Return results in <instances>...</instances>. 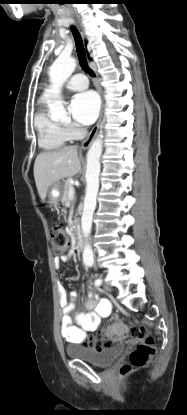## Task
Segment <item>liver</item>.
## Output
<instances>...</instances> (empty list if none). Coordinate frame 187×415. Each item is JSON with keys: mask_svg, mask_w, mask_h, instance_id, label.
Segmentation results:
<instances>
[{"mask_svg": "<svg viewBox=\"0 0 187 415\" xmlns=\"http://www.w3.org/2000/svg\"><path fill=\"white\" fill-rule=\"evenodd\" d=\"M80 169L76 146L40 153L34 163V179L41 200H45L47 190L53 183L77 174Z\"/></svg>", "mask_w": 187, "mask_h": 415, "instance_id": "6515ba94", "label": "liver"}]
</instances>
